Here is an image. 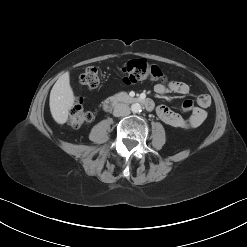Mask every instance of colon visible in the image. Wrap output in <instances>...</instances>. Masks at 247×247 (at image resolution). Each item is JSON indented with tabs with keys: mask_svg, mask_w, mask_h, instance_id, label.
<instances>
[{
	"mask_svg": "<svg viewBox=\"0 0 247 247\" xmlns=\"http://www.w3.org/2000/svg\"><path fill=\"white\" fill-rule=\"evenodd\" d=\"M123 80L127 84L136 83L142 80L163 81L165 79L164 74L160 68L145 59H133L126 62L122 66ZM80 82L82 85L96 89L100 84L99 70L97 67L91 66L80 76ZM194 107L192 100H185L181 105V110L184 112L191 111ZM93 119V114L84 110L82 106V100L76 99L71 108L68 123L74 128H79Z\"/></svg>",
	"mask_w": 247,
	"mask_h": 247,
	"instance_id": "1",
	"label": "colon"
}]
</instances>
